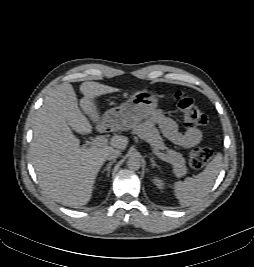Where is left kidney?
<instances>
[{
  "mask_svg": "<svg viewBox=\"0 0 254 267\" xmlns=\"http://www.w3.org/2000/svg\"><path fill=\"white\" fill-rule=\"evenodd\" d=\"M153 181H154V184H155L159 189H163V188H164V182H163V180H161L160 178L155 177V178L153 179Z\"/></svg>",
  "mask_w": 254,
  "mask_h": 267,
  "instance_id": "obj_1",
  "label": "left kidney"
}]
</instances>
